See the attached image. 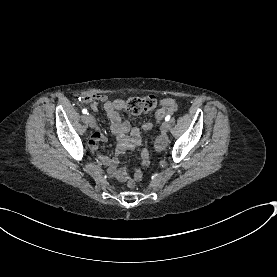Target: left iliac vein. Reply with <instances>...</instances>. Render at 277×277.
Instances as JSON below:
<instances>
[{
  "mask_svg": "<svg viewBox=\"0 0 277 277\" xmlns=\"http://www.w3.org/2000/svg\"><path fill=\"white\" fill-rule=\"evenodd\" d=\"M168 129H169V124H168V122H163L162 125H161V131H162L163 133H166V132L168 131Z\"/></svg>",
  "mask_w": 277,
  "mask_h": 277,
  "instance_id": "4c4485c4",
  "label": "left iliac vein"
}]
</instances>
